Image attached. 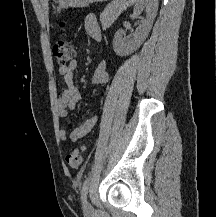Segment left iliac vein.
<instances>
[{
	"instance_id": "left-iliac-vein-1",
	"label": "left iliac vein",
	"mask_w": 216,
	"mask_h": 217,
	"mask_svg": "<svg viewBox=\"0 0 216 217\" xmlns=\"http://www.w3.org/2000/svg\"><path fill=\"white\" fill-rule=\"evenodd\" d=\"M84 210L86 212H90L92 210V207H91L90 203L87 200L84 201Z\"/></svg>"
}]
</instances>
